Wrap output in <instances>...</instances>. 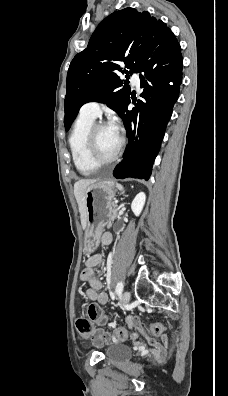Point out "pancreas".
<instances>
[{"label": "pancreas", "instance_id": "pancreas-1", "mask_svg": "<svg viewBox=\"0 0 228 396\" xmlns=\"http://www.w3.org/2000/svg\"><path fill=\"white\" fill-rule=\"evenodd\" d=\"M116 207H117V206L113 203V204H112L113 215L111 216V219L109 220V222L106 223V229H109V227L111 226V224H113V223H114V220L116 219V216H115L116 211H117Z\"/></svg>", "mask_w": 228, "mask_h": 396}]
</instances>
